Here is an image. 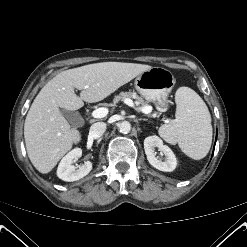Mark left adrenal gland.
<instances>
[{"label":"left adrenal gland","mask_w":247,"mask_h":247,"mask_svg":"<svg viewBox=\"0 0 247 247\" xmlns=\"http://www.w3.org/2000/svg\"><path fill=\"white\" fill-rule=\"evenodd\" d=\"M138 120H139V121H147L148 119H146V118H138L137 121H138Z\"/></svg>","instance_id":"1"}]
</instances>
